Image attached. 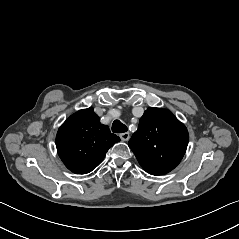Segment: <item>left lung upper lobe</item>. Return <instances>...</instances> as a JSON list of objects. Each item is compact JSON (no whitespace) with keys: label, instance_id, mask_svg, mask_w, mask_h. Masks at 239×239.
I'll list each match as a JSON object with an SVG mask.
<instances>
[{"label":"left lung upper lobe","instance_id":"obj_1","mask_svg":"<svg viewBox=\"0 0 239 239\" xmlns=\"http://www.w3.org/2000/svg\"><path fill=\"white\" fill-rule=\"evenodd\" d=\"M188 140L187 128L170 111L150 107L128 145L146 172L163 175L180 163Z\"/></svg>","mask_w":239,"mask_h":239}]
</instances>
